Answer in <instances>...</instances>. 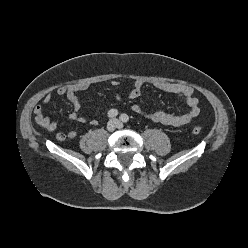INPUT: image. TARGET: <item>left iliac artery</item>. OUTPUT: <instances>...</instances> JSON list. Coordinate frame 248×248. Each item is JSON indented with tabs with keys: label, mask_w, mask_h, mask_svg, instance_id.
I'll list each match as a JSON object with an SVG mask.
<instances>
[{
	"label": "left iliac artery",
	"mask_w": 248,
	"mask_h": 248,
	"mask_svg": "<svg viewBox=\"0 0 248 248\" xmlns=\"http://www.w3.org/2000/svg\"><path fill=\"white\" fill-rule=\"evenodd\" d=\"M120 120L124 123H127L129 121V116L127 114H122L120 116Z\"/></svg>",
	"instance_id": "44dca946"
}]
</instances>
